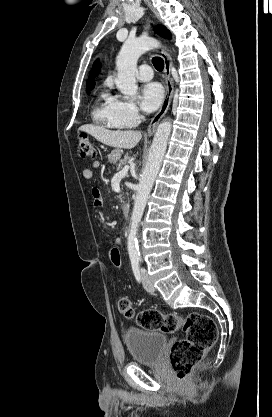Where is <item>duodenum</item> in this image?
<instances>
[{
  "label": "duodenum",
  "mask_w": 272,
  "mask_h": 417,
  "mask_svg": "<svg viewBox=\"0 0 272 417\" xmlns=\"http://www.w3.org/2000/svg\"><path fill=\"white\" fill-rule=\"evenodd\" d=\"M121 209H122V213L124 214V216H128V214L130 212L129 203H127V202L122 203Z\"/></svg>",
  "instance_id": "1"
}]
</instances>
